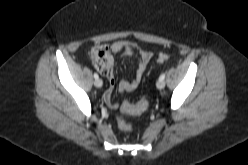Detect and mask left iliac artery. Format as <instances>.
Returning a JSON list of instances; mask_svg holds the SVG:
<instances>
[{
	"label": "left iliac artery",
	"mask_w": 248,
	"mask_h": 165,
	"mask_svg": "<svg viewBox=\"0 0 248 165\" xmlns=\"http://www.w3.org/2000/svg\"><path fill=\"white\" fill-rule=\"evenodd\" d=\"M165 73L161 74L160 77H159V80H164L165 79Z\"/></svg>",
	"instance_id": "left-iliac-artery-1"
}]
</instances>
